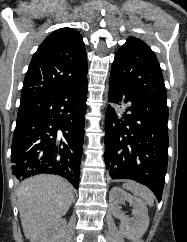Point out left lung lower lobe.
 Returning a JSON list of instances; mask_svg holds the SVG:
<instances>
[{"instance_id":"0a47b994","label":"left lung lower lobe","mask_w":187,"mask_h":242,"mask_svg":"<svg viewBox=\"0 0 187 242\" xmlns=\"http://www.w3.org/2000/svg\"><path fill=\"white\" fill-rule=\"evenodd\" d=\"M108 101L128 106L106 110L105 163L112 179H132L161 201L168 163V107L110 77Z\"/></svg>"}]
</instances>
